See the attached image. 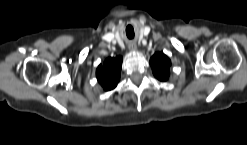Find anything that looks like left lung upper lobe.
I'll return each mask as SVG.
<instances>
[{
	"mask_svg": "<svg viewBox=\"0 0 247 145\" xmlns=\"http://www.w3.org/2000/svg\"><path fill=\"white\" fill-rule=\"evenodd\" d=\"M150 65L158 80L166 81L168 79L171 61L164 53H155L150 59Z\"/></svg>",
	"mask_w": 247,
	"mask_h": 145,
	"instance_id": "obj_1",
	"label": "left lung upper lobe"
}]
</instances>
